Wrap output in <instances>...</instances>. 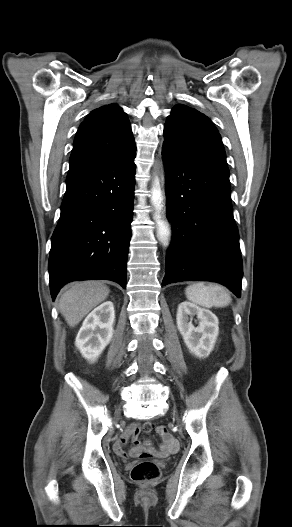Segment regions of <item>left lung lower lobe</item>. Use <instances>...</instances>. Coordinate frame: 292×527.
<instances>
[{
  "label": "left lung lower lobe",
  "mask_w": 292,
  "mask_h": 527,
  "mask_svg": "<svg viewBox=\"0 0 292 527\" xmlns=\"http://www.w3.org/2000/svg\"><path fill=\"white\" fill-rule=\"evenodd\" d=\"M167 216L173 239L162 284L214 281L241 294L243 274L229 170L163 147Z\"/></svg>",
  "instance_id": "left-lung-lower-lobe-1"
}]
</instances>
